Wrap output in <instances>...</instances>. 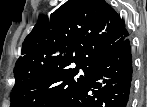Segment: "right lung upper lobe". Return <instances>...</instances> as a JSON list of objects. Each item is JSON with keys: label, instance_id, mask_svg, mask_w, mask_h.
Masks as SVG:
<instances>
[{"label": "right lung upper lobe", "instance_id": "1", "mask_svg": "<svg viewBox=\"0 0 147 107\" xmlns=\"http://www.w3.org/2000/svg\"><path fill=\"white\" fill-rule=\"evenodd\" d=\"M127 37L125 22L104 0H69L50 17L39 18L14 72L97 67Z\"/></svg>", "mask_w": 147, "mask_h": 107}]
</instances>
